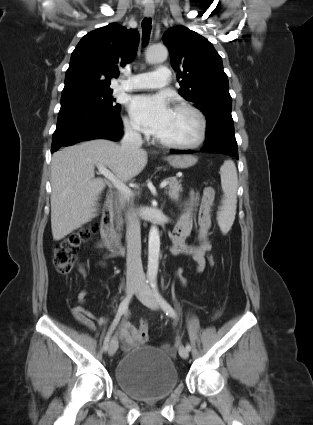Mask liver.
Segmentation results:
<instances>
[{"mask_svg": "<svg viewBox=\"0 0 313 425\" xmlns=\"http://www.w3.org/2000/svg\"><path fill=\"white\" fill-rule=\"evenodd\" d=\"M147 164V152H126L105 139H95L57 151L51 161V229L59 241L96 216V202L106 186L95 178V166L104 165L127 182Z\"/></svg>", "mask_w": 313, "mask_h": 425, "instance_id": "liver-1", "label": "liver"}]
</instances>
